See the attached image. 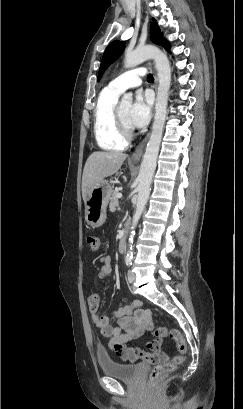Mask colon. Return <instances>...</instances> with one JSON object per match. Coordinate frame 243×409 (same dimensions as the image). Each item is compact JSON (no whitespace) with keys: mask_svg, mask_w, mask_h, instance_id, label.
Returning <instances> with one entry per match:
<instances>
[{"mask_svg":"<svg viewBox=\"0 0 243 409\" xmlns=\"http://www.w3.org/2000/svg\"><path fill=\"white\" fill-rule=\"evenodd\" d=\"M86 242L91 250H98L99 240L96 236L88 235L86 238ZM88 304L90 309L97 310L99 307V297L95 294H91L88 297ZM151 315L153 316L154 312H152ZM154 334L159 340L167 339L168 337H170L176 342L177 345V353L173 356V358L171 360L167 359L161 361L159 364L155 365L150 372V380L154 384V386L157 387L167 375L175 370L178 364L184 361L188 348L180 332L176 329H171L168 333L164 328H157L154 331Z\"/></svg>","mask_w":243,"mask_h":409,"instance_id":"5ec220e1","label":"colon"}]
</instances>
